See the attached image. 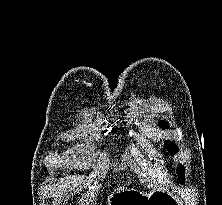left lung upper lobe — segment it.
<instances>
[{
    "mask_svg": "<svg viewBox=\"0 0 222 205\" xmlns=\"http://www.w3.org/2000/svg\"><path fill=\"white\" fill-rule=\"evenodd\" d=\"M160 125H161V127H162L163 129L169 127L168 124H167V122H165V121H162V122L160 123ZM165 148L168 149V151H169L172 155H174V154H176V153L178 152V148H177V146L175 145V143H173V142L166 141V142H165ZM177 175L179 176L178 182H179V183H183V182H184V166H183V165H179V166H178V168H177Z\"/></svg>",
    "mask_w": 222,
    "mask_h": 205,
    "instance_id": "1",
    "label": "left lung upper lobe"
}]
</instances>
